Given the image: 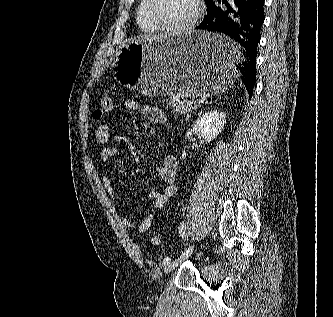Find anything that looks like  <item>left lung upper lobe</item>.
Returning <instances> with one entry per match:
<instances>
[{
    "instance_id": "1",
    "label": "left lung upper lobe",
    "mask_w": 333,
    "mask_h": 317,
    "mask_svg": "<svg viewBox=\"0 0 333 317\" xmlns=\"http://www.w3.org/2000/svg\"><path fill=\"white\" fill-rule=\"evenodd\" d=\"M204 1L208 5L212 0H204Z\"/></svg>"
}]
</instances>
